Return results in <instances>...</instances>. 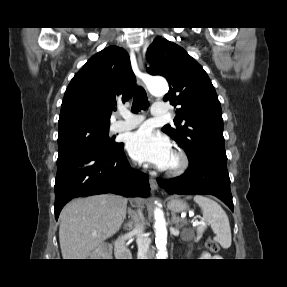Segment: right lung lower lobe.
Listing matches in <instances>:
<instances>
[{
	"mask_svg": "<svg viewBox=\"0 0 287 287\" xmlns=\"http://www.w3.org/2000/svg\"><path fill=\"white\" fill-rule=\"evenodd\" d=\"M114 193L125 197H148V176L134 170L123 152V143L111 153L73 150L58 155L55 181V218L75 197Z\"/></svg>",
	"mask_w": 287,
	"mask_h": 287,
	"instance_id": "right-lung-lower-lobe-1",
	"label": "right lung lower lobe"
}]
</instances>
